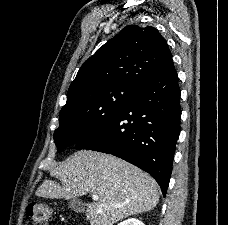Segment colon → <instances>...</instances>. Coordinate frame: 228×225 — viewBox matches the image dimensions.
<instances>
[{
	"label": "colon",
	"mask_w": 228,
	"mask_h": 225,
	"mask_svg": "<svg viewBox=\"0 0 228 225\" xmlns=\"http://www.w3.org/2000/svg\"><path fill=\"white\" fill-rule=\"evenodd\" d=\"M26 214L33 225H49L50 223V208L42 201L31 200L27 206Z\"/></svg>",
	"instance_id": "1"
}]
</instances>
